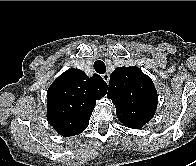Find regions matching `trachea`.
<instances>
[{
    "label": "trachea",
    "instance_id": "obj_1",
    "mask_svg": "<svg viewBox=\"0 0 196 166\" xmlns=\"http://www.w3.org/2000/svg\"><path fill=\"white\" fill-rule=\"evenodd\" d=\"M94 69L97 73L99 74H104L105 71H106V66L104 64L103 61L101 60H97L95 63H94Z\"/></svg>",
    "mask_w": 196,
    "mask_h": 166
}]
</instances>
